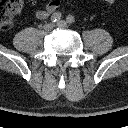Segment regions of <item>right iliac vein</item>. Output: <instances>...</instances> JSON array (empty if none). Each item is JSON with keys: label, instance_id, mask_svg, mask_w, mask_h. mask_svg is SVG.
<instances>
[{"label": "right iliac vein", "instance_id": "1", "mask_svg": "<svg viewBox=\"0 0 128 128\" xmlns=\"http://www.w3.org/2000/svg\"><path fill=\"white\" fill-rule=\"evenodd\" d=\"M53 27H54V24L48 23V24L44 25V30L49 32L53 29Z\"/></svg>", "mask_w": 128, "mask_h": 128}]
</instances>
